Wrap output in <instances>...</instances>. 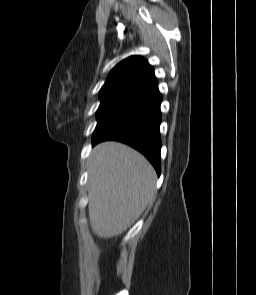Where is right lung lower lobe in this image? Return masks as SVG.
<instances>
[{
    "mask_svg": "<svg viewBox=\"0 0 256 295\" xmlns=\"http://www.w3.org/2000/svg\"><path fill=\"white\" fill-rule=\"evenodd\" d=\"M162 96L157 83L132 99L128 105L100 132L92 137V144L104 140H117L140 151L160 175L161 123L160 103Z\"/></svg>",
    "mask_w": 256,
    "mask_h": 295,
    "instance_id": "obj_1",
    "label": "right lung lower lobe"
}]
</instances>
